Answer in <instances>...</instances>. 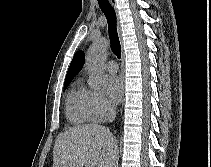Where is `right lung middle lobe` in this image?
Returning a JSON list of instances; mask_svg holds the SVG:
<instances>
[{"label": "right lung middle lobe", "mask_w": 211, "mask_h": 167, "mask_svg": "<svg viewBox=\"0 0 211 167\" xmlns=\"http://www.w3.org/2000/svg\"><path fill=\"white\" fill-rule=\"evenodd\" d=\"M69 83H70V81H67L64 83V90L68 87Z\"/></svg>", "instance_id": "dd1d6c3e"}]
</instances>
